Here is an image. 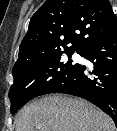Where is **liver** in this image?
<instances>
[{
  "instance_id": "liver-1",
  "label": "liver",
  "mask_w": 117,
  "mask_h": 131,
  "mask_svg": "<svg viewBox=\"0 0 117 131\" xmlns=\"http://www.w3.org/2000/svg\"><path fill=\"white\" fill-rule=\"evenodd\" d=\"M16 131H116V127L91 103L53 94L24 107Z\"/></svg>"
}]
</instances>
